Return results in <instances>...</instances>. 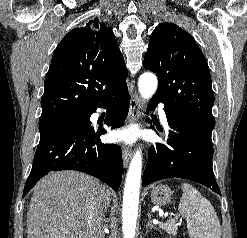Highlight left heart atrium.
<instances>
[{
    "mask_svg": "<svg viewBox=\"0 0 247 238\" xmlns=\"http://www.w3.org/2000/svg\"><path fill=\"white\" fill-rule=\"evenodd\" d=\"M136 133L133 129H122L115 131L112 134V139L114 141H121L130 143L135 139Z\"/></svg>",
    "mask_w": 247,
    "mask_h": 238,
    "instance_id": "obj_1",
    "label": "left heart atrium"
}]
</instances>
